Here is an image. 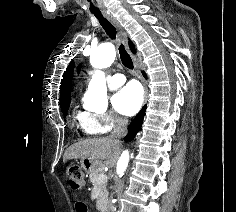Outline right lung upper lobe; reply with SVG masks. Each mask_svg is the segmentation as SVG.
Masks as SVG:
<instances>
[{"instance_id":"cb5924a9","label":"right lung upper lobe","mask_w":236,"mask_h":212,"mask_svg":"<svg viewBox=\"0 0 236 212\" xmlns=\"http://www.w3.org/2000/svg\"><path fill=\"white\" fill-rule=\"evenodd\" d=\"M129 46L131 51L134 53L135 49L131 41H129ZM73 68H74V62L72 61L68 65L67 70L64 72L63 79L61 81L60 102L66 99H71L70 93H71V79H72Z\"/></svg>"}]
</instances>
